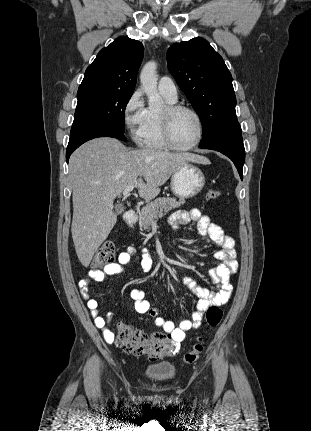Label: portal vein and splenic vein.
Returning <instances> with one entry per match:
<instances>
[{
	"mask_svg": "<svg viewBox=\"0 0 311 431\" xmlns=\"http://www.w3.org/2000/svg\"><path fill=\"white\" fill-rule=\"evenodd\" d=\"M135 186H127L125 190H123V196L124 198H127V196H130V192H133Z\"/></svg>",
	"mask_w": 311,
	"mask_h": 431,
	"instance_id": "1",
	"label": "portal vein and splenic vein"
}]
</instances>
